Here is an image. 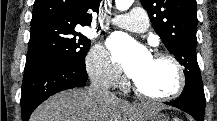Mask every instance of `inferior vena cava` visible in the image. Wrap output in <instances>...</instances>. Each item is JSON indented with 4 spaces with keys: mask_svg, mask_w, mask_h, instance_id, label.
<instances>
[{
    "mask_svg": "<svg viewBox=\"0 0 217 121\" xmlns=\"http://www.w3.org/2000/svg\"><path fill=\"white\" fill-rule=\"evenodd\" d=\"M89 92L97 98H115V95L109 91V86L95 79H92Z\"/></svg>",
    "mask_w": 217,
    "mask_h": 121,
    "instance_id": "inferior-vena-cava-1",
    "label": "inferior vena cava"
}]
</instances>
